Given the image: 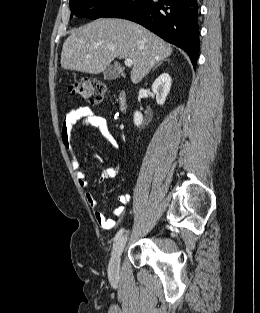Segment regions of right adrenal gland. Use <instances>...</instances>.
<instances>
[{
    "label": "right adrenal gland",
    "instance_id": "obj_1",
    "mask_svg": "<svg viewBox=\"0 0 260 313\" xmlns=\"http://www.w3.org/2000/svg\"><path fill=\"white\" fill-rule=\"evenodd\" d=\"M161 63H162V62L158 63V64L154 67V69L157 68ZM154 69H153V70H154Z\"/></svg>",
    "mask_w": 260,
    "mask_h": 313
}]
</instances>
